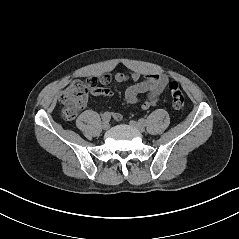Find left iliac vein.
I'll use <instances>...</instances> for the list:
<instances>
[{
    "instance_id": "4c4485c4",
    "label": "left iliac vein",
    "mask_w": 239,
    "mask_h": 239,
    "mask_svg": "<svg viewBox=\"0 0 239 239\" xmlns=\"http://www.w3.org/2000/svg\"><path fill=\"white\" fill-rule=\"evenodd\" d=\"M130 123V125L132 126V127H134L135 129H137L139 132H144L145 131V127H144V125L143 124H141L140 122H137V121H130L129 122Z\"/></svg>"
}]
</instances>
